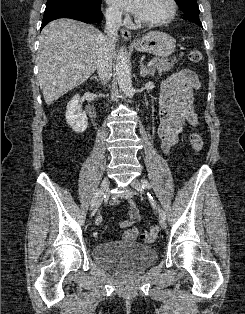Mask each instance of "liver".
Listing matches in <instances>:
<instances>
[{
	"label": "liver",
	"mask_w": 245,
	"mask_h": 314,
	"mask_svg": "<svg viewBox=\"0 0 245 314\" xmlns=\"http://www.w3.org/2000/svg\"><path fill=\"white\" fill-rule=\"evenodd\" d=\"M103 39L94 26L73 19L54 20L43 28L38 82L48 106L94 73Z\"/></svg>",
	"instance_id": "liver-1"
}]
</instances>
